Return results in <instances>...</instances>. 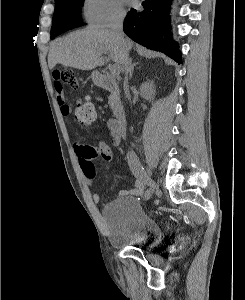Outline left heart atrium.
I'll return each instance as SVG.
<instances>
[{"instance_id":"39dd6f15","label":"left heart atrium","mask_w":245,"mask_h":300,"mask_svg":"<svg viewBox=\"0 0 245 300\" xmlns=\"http://www.w3.org/2000/svg\"><path fill=\"white\" fill-rule=\"evenodd\" d=\"M128 2H130V3H132L133 2V0H127Z\"/></svg>"}]
</instances>
